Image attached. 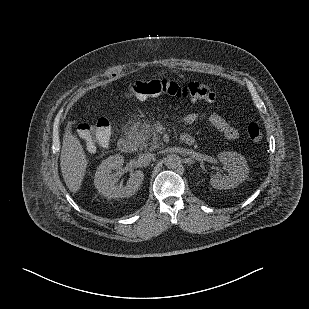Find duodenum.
I'll use <instances>...</instances> for the list:
<instances>
[{"label":"duodenum","mask_w":309,"mask_h":309,"mask_svg":"<svg viewBox=\"0 0 309 309\" xmlns=\"http://www.w3.org/2000/svg\"><path fill=\"white\" fill-rule=\"evenodd\" d=\"M181 141L187 145H192L194 142L193 138L187 134L181 136ZM117 147L119 151L124 153H130L132 151V143L127 138H120L118 140Z\"/></svg>","instance_id":"duodenum-1"}]
</instances>
